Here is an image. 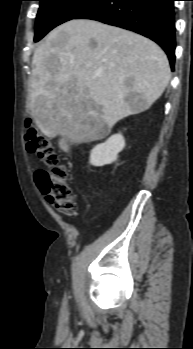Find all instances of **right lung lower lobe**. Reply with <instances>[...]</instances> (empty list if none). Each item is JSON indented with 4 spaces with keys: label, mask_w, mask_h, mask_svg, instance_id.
Here are the masks:
<instances>
[{
    "label": "right lung lower lobe",
    "mask_w": 193,
    "mask_h": 349,
    "mask_svg": "<svg viewBox=\"0 0 193 349\" xmlns=\"http://www.w3.org/2000/svg\"><path fill=\"white\" fill-rule=\"evenodd\" d=\"M175 0H97L74 19L97 20L125 28L158 43L171 69L175 61Z\"/></svg>",
    "instance_id": "obj_1"
}]
</instances>
